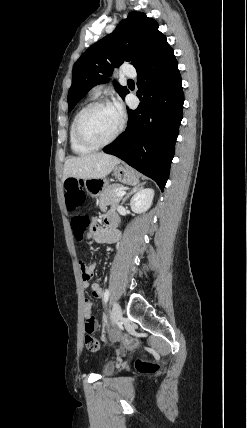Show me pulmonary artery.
I'll use <instances>...</instances> for the list:
<instances>
[{
  "instance_id": "e3ab8cb5",
  "label": "pulmonary artery",
  "mask_w": 247,
  "mask_h": 428,
  "mask_svg": "<svg viewBox=\"0 0 247 428\" xmlns=\"http://www.w3.org/2000/svg\"><path fill=\"white\" fill-rule=\"evenodd\" d=\"M122 73H123V75H125V76H127V77H135V76H136V71H135V69H134L132 66H130V65H125V66H123V68H122ZM100 89H101V86H96V87L93 89V91H94L95 93H99V92H100Z\"/></svg>"
}]
</instances>
